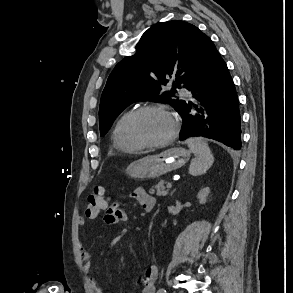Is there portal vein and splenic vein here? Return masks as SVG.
Masks as SVG:
<instances>
[{
    "instance_id": "18ae733b",
    "label": "portal vein and splenic vein",
    "mask_w": 293,
    "mask_h": 293,
    "mask_svg": "<svg viewBox=\"0 0 293 293\" xmlns=\"http://www.w3.org/2000/svg\"><path fill=\"white\" fill-rule=\"evenodd\" d=\"M167 188H172V183L171 182L167 183Z\"/></svg>"
}]
</instances>
